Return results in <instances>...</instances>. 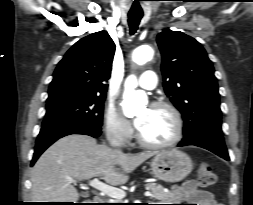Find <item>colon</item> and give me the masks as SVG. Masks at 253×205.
I'll return each mask as SVG.
<instances>
[{
  "mask_svg": "<svg viewBox=\"0 0 253 205\" xmlns=\"http://www.w3.org/2000/svg\"><path fill=\"white\" fill-rule=\"evenodd\" d=\"M198 183L201 187H209L216 183L217 177L210 163L203 161L197 170Z\"/></svg>",
  "mask_w": 253,
  "mask_h": 205,
  "instance_id": "obj_1",
  "label": "colon"
}]
</instances>
